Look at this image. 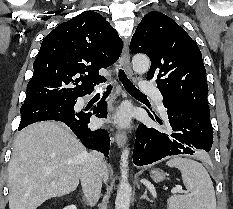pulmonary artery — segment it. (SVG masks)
Masks as SVG:
<instances>
[{"label":"pulmonary artery","instance_id":"obj_1","mask_svg":"<svg viewBox=\"0 0 233 209\" xmlns=\"http://www.w3.org/2000/svg\"><path fill=\"white\" fill-rule=\"evenodd\" d=\"M140 91L151 95L154 98L156 105L160 108L163 116L166 117V112L163 106V96L159 90L151 82H143L140 86Z\"/></svg>","mask_w":233,"mask_h":209}]
</instances>
